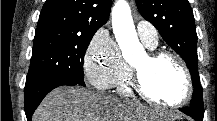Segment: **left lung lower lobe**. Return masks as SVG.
<instances>
[{
  "instance_id": "obj_1",
  "label": "left lung lower lobe",
  "mask_w": 217,
  "mask_h": 121,
  "mask_svg": "<svg viewBox=\"0 0 217 121\" xmlns=\"http://www.w3.org/2000/svg\"><path fill=\"white\" fill-rule=\"evenodd\" d=\"M183 113L191 116L194 120L198 121L197 118L195 117V115L193 114V112L191 111V109L189 107H185V108H181L180 109Z\"/></svg>"
}]
</instances>
